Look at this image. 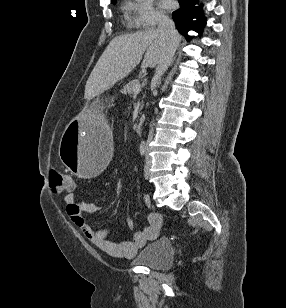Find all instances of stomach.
I'll use <instances>...</instances> for the list:
<instances>
[{
  "label": "stomach",
  "mask_w": 286,
  "mask_h": 308,
  "mask_svg": "<svg viewBox=\"0 0 286 308\" xmlns=\"http://www.w3.org/2000/svg\"><path fill=\"white\" fill-rule=\"evenodd\" d=\"M113 115L111 103H94L93 109L82 113V117L69 118L60 142H56L61 164L85 177L101 174L102 168L113 159V152H109L111 133L116 131L115 126H111Z\"/></svg>",
  "instance_id": "0dacf381"
}]
</instances>
